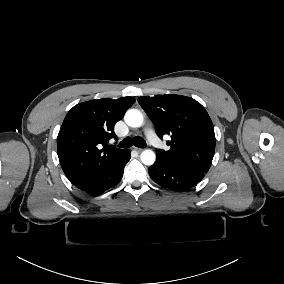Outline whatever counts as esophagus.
Masks as SVG:
<instances>
[{
  "label": "esophagus",
  "mask_w": 284,
  "mask_h": 284,
  "mask_svg": "<svg viewBox=\"0 0 284 284\" xmlns=\"http://www.w3.org/2000/svg\"><path fill=\"white\" fill-rule=\"evenodd\" d=\"M132 149L136 150L137 152H141V151L143 150V149L138 148V147H136V146H135V147L133 146Z\"/></svg>",
  "instance_id": "1"
}]
</instances>
